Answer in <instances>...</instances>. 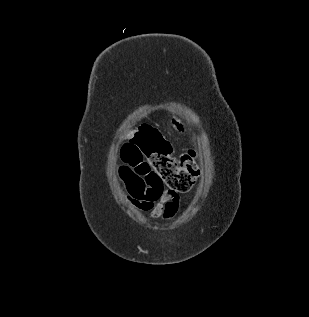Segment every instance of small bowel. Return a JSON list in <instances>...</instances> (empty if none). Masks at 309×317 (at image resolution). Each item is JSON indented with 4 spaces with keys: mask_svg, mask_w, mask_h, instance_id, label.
Masks as SVG:
<instances>
[{
    "mask_svg": "<svg viewBox=\"0 0 309 317\" xmlns=\"http://www.w3.org/2000/svg\"><path fill=\"white\" fill-rule=\"evenodd\" d=\"M118 177L123 183L129 201L152 219L171 220L180 207V196L164 190L156 173L145 160L132 164L122 154Z\"/></svg>",
    "mask_w": 309,
    "mask_h": 317,
    "instance_id": "obj_1",
    "label": "small bowel"
}]
</instances>
